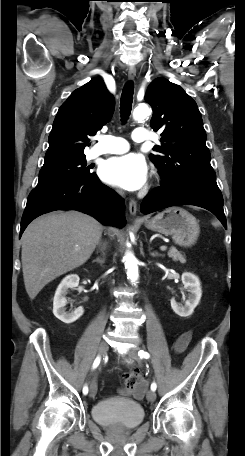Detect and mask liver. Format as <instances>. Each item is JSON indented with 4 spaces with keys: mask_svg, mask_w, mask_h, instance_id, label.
<instances>
[{
    "mask_svg": "<svg viewBox=\"0 0 245 456\" xmlns=\"http://www.w3.org/2000/svg\"><path fill=\"white\" fill-rule=\"evenodd\" d=\"M102 231L97 220L78 211L55 212L35 219L22 235V271L30 299L55 278L83 265Z\"/></svg>",
    "mask_w": 245,
    "mask_h": 456,
    "instance_id": "liver-1",
    "label": "liver"
}]
</instances>
